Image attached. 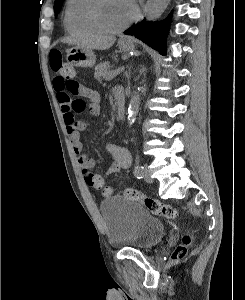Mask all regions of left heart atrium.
<instances>
[{"mask_svg": "<svg viewBox=\"0 0 245 300\" xmlns=\"http://www.w3.org/2000/svg\"><path fill=\"white\" fill-rule=\"evenodd\" d=\"M130 6L132 7L133 11L135 12L137 9L136 0H127Z\"/></svg>", "mask_w": 245, "mask_h": 300, "instance_id": "1", "label": "left heart atrium"}]
</instances>
